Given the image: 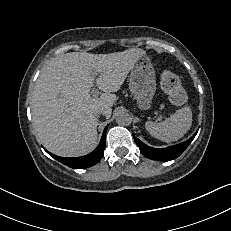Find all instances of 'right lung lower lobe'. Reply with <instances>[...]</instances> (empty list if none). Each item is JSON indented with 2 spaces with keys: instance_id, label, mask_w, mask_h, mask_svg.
Returning <instances> with one entry per match:
<instances>
[{
  "instance_id": "obj_1",
  "label": "right lung lower lobe",
  "mask_w": 231,
  "mask_h": 231,
  "mask_svg": "<svg viewBox=\"0 0 231 231\" xmlns=\"http://www.w3.org/2000/svg\"><path fill=\"white\" fill-rule=\"evenodd\" d=\"M106 130H107V127L103 131V135H102L99 145L96 147L94 151H92L88 155L81 156V157H75V158H65V157H59V156L53 155L49 153L48 151L46 152L49 153L57 161L73 169H82V168L91 167L95 165L96 163H98L104 154Z\"/></svg>"
}]
</instances>
